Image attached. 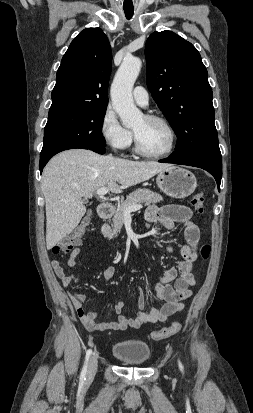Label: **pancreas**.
<instances>
[{
	"label": "pancreas",
	"instance_id": "cf45deb5",
	"mask_svg": "<svg viewBox=\"0 0 253 413\" xmlns=\"http://www.w3.org/2000/svg\"><path fill=\"white\" fill-rule=\"evenodd\" d=\"M163 198L160 194L155 193L149 189H137L127 196L126 200L118 205L114 212L112 219V228L108 224H104L102 227V233L104 237L112 239L120 232L124 222V209L129 206L145 203V205L156 204L162 201Z\"/></svg>",
	"mask_w": 253,
	"mask_h": 413
}]
</instances>
